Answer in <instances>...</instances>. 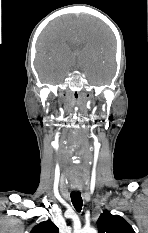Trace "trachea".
Segmentation results:
<instances>
[{"label": "trachea", "instance_id": "trachea-1", "mask_svg": "<svg viewBox=\"0 0 148 233\" xmlns=\"http://www.w3.org/2000/svg\"><path fill=\"white\" fill-rule=\"evenodd\" d=\"M71 201L77 212H80L83 206V200L80 192L71 193Z\"/></svg>", "mask_w": 148, "mask_h": 233}]
</instances>
